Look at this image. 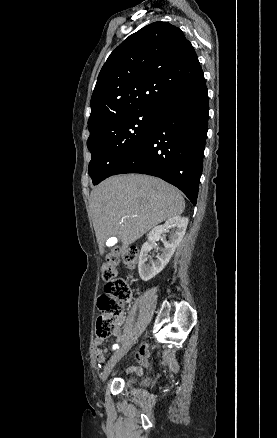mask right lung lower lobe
Returning <instances> with one entry per match:
<instances>
[{"instance_id": "obj_1", "label": "right lung lower lobe", "mask_w": 277, "mask_h": 438, "mask_svg": "<svg viewBox=\"0 0 277 438\" xmlns=\"http://www.w3.org/2000/svg\"><path fill=\"white\" fill-rule=\"evenodd\" d=\"M170 65L163 70L168 71ZM204 76L174 91L157 105L142 143L113 173L148 174L178 187L195 205L208 130Z\"/></svg>"}]
</instances>
